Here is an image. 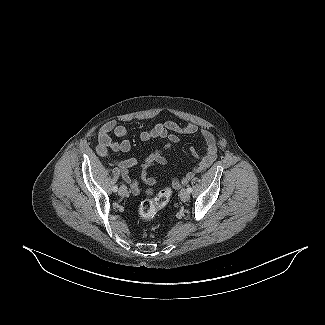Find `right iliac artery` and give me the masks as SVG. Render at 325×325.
Wrapping results in <instances>:
<instances>
[{
    "instance_id": "right-iliac-artery-1",
    "label": "right iliac artery",
    "mask_w": 325,
    "mask_h": 325,
    "mask_svg": "<svg viewBox=\"0 0 325 325\" xmlns=\"http://www.w3.org/2000/svg\"><path fill=\"white\" fill-rule=\"evenodd\" d=\"M113 192H117V190H118V187L115 185L114 187H113Z\"/></svg>"
}]
</instances>
